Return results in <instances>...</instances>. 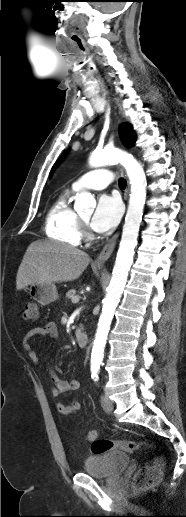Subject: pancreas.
Returning a JSON list of instances; mask_svg holds the SVG:
<instances>
[{
	"instance_id": "obj_1",
	"label": "pancreas",
	"mask_w": 186,
	"mask_h": 517,
	"mask_svg": "<svg viewBox=\"0 0 186 517\" xmlns=\"http://www.w3.org/2000/svg\"><path fill=\"white\" fill-rule=\"evenodd\" d=\"M74 297H78V298H79V296L76 294V290H75V289H71V290H69V291L66 293V298H68V299H72V298H74Z\"/></svg>"
}]
</instances>
